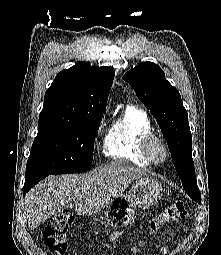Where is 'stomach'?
I'll list each match as a JSON object with an SVG mask.
<instances>
[{
  "instance_id": "obj_1",
  "label": "stomach",
  "mask_w": 221,
  "mask_h": 255,
  "mask_svg": "<svg viewBox=\"0 0 221 255\" xmlns=\"http://www.w3.org/2000/svg\"><path fill=\"white\" fill-rule=\"evenodd\" d=\"M163 194L162 184L155 178L141 177L129 193L117 196L107 207L105 218L113 227H126L134 220L137 207L146 209L157 202Z\"/></svg>"
}]
</instances>
